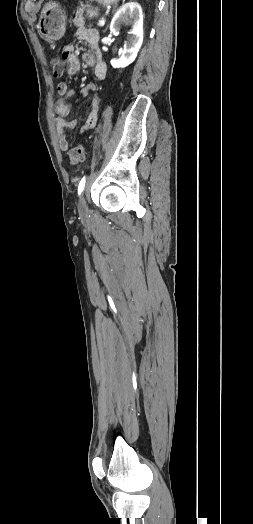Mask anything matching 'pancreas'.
Instances as JSON below:
<instances>
[{"label": "pancreas", "mask_w": 253, "mask_h": 524, "mask_svg": "<svg viewBox=\"0 0 253 524\" xmlns=\"http://www.w3.org/2000/svg\"><path fill=\"white\" fill-rule=\"evenodd\" d=\"M85 12V16L87 17H98L99 15V9L97 7H92L89 4H81L80 7L77 8L75 12V19L83 18V14Z\"/></svg>", "instance_id": "pancreas-1"}]
</instances>
